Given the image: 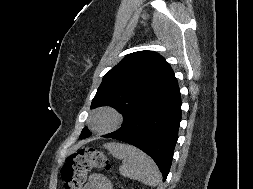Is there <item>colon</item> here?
I'll return each mask as SVG.
<instances>
[{
  "label": "colon",
  "mask_w": 253,
  "mask_h": 189,
  "mask_svg": "<svg viewBox=\"0 0 253 189\" xmlns=\"http://www.w3.org/2000/svg\"><path fill=\"white\" fill-rule=\"evenodd\" d=\"M93 168L111 169L108 158L98 149L85 147L70 154L61 170L65 189H83L87 174Z\"/></svg>",
  "instance_id": "5ec220e1"
}]
</instances>
